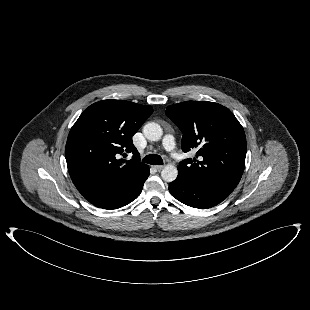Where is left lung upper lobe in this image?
Returning <instances> with one entry per match:
<instances>
[{
    "instance_id": "5c2ea615",
    "label": "left lung upper lobe",
    "mask_w": 310,
    "mask_h": 310,
    "mask_svg": "<svg viewBox=\"0 0 310 310\" xmlns=\"http://www.w3.org/2000/svg\"><path fill=\"white\" fill-rule=\"evenodd\" d=\"M166 115L183 133L184 152L194 159L180 162L178 175L231 193L245 167L243 127L226 107L208 101H187L167 107Z\"/></svg>"
}]
</instances>
